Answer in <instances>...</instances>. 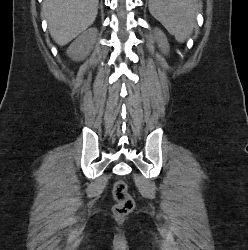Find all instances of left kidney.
<instances>
[{"mask_svg":"<svg viewBox=\"0 0 248 250\" xmlns=\"http://www.w3.org/2000/svg\"><path fill=\"white\" fill-rule=\"evenodd\" d=\"M155 36L158 42V46L161 48L164 54H167L169 52V44L165 34L161 30L156 28Z\"/></svg>","mask_w":248,"mask_h":250,"instance_id":"obj_1","label":"left kidney"}]
</instances>
